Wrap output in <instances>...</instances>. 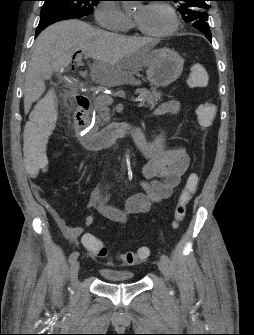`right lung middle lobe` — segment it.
Returning a JSON list of instances; mask_svg holds the SVG:
<instances>
[{"mask_svg": "<svg viewBox=\"0 0 254 335\" xmlns=\"http://www.w3.org/2000/svg\"><path fill=\"white\" fill-rule=\"evenodd\" d=\"M41 16L63 13L74 18L88 15L100 0H43Z\"/></svg>", "mask_w": 254, "mask_h": 335, "instance_id": "obj_1", "label": "right lung middle lobe"}]
</instances>
